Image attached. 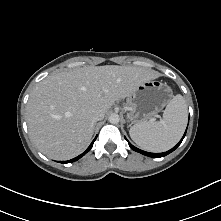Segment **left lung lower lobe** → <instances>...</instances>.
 <instances>
[{"label":"left lung lower lobe","instance_id":"obj_1","mask_svg":"<svg viewBox=\"0 0 221 221\" xmlns=\"http://www.w3.org/2000/svg\"><path fill=\"white\" fill-rule=\"evenodd\" d=\"M186 135V132L185 134L183 135L182 139L179 141V143L177 145H175L172 149L166 151V152H163V153H150V152H146V151H143V150H140L138 148H136L135 146H133L130 142L129 143V146L132 150L136 151V152H139L143 155H146V156H149V157H155V158H159V157H163V156H166L168 154H170L171 152H173L182 142V140L184 139Z\"/></svg>","mask_w":221,"mask_h":221}]
</instances>
